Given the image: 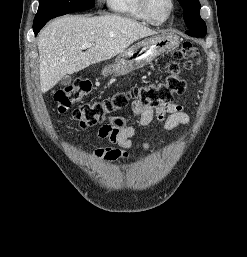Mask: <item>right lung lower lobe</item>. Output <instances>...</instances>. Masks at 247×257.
I'll return each mask as SVG.
<instances>
[{
	"mask_svg": "<svg viewBox=\"0 0 247 257\" xmlns=\"http://www.w3.org/2000/svg\"><path fill=\"white\" fill-rule=\"evenodd\" d=\"M50 20V19H49ZM49 20H45V21H42L40 23H37V24H33V31L35 33V35L38 34V32L41 30V28H43V26L46 24V22H48Z\"/></svg>",
	"mask_w": 247,
	"mask_h": 257,
	"instance_id": "1",
	"label": "right lung lower lobe"
}]
</instances>
